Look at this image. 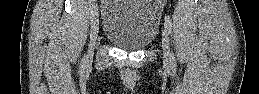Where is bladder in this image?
<instances>
[{"mask_svg": "<svg viewBox=\"0 0 259 94\" xmlns=\"http://www.w3.org/2000/svg\"><path fill=\"white\" fill-rule=\"evenodd\" d=\"M160 7L151 0H109L102 9V32L119 48L137 51L156 37Z\"/></svg>", "mask_w": 259, "mask_h": 94, "instance_id": "1", "label": "bladder"}]
</instances>
